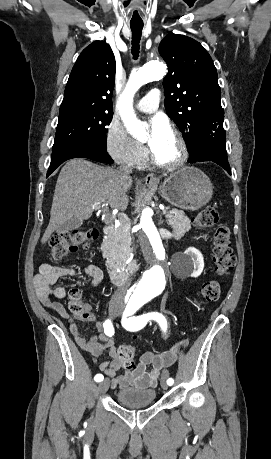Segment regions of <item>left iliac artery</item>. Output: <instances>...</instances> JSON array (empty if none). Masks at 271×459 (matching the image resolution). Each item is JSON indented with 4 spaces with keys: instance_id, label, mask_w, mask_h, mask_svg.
I'll return each instance as SVG.
<instances>
[{
    "instance_id": "left-iliac-artery-1",
    "label": "left iliac artery",
    "mask_w": 271,
    "mask_h": 459,
    "mask_svg": "<svg viewBox=\"0 0 271 459\" xmlns=\"http://www.w3.org/2000/svg\"><path fill=\"white\" fill-rule=\"evenodd\" d=\"M141 305L142 303H132L130 307H124L121 321L122 326L128 331H138L142 329L149 320L152 319L159 323L161 327L160 333L165 335L167 333V321L165 317L158 312H151L138 317L127 318V316H134L135 310H137ZM173 383L174 380L172 378L167 380L168 387H173Z\"/></svg>"
}]
</instances>
